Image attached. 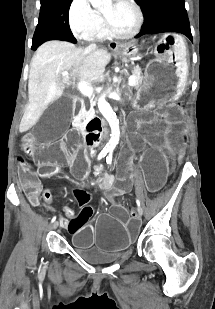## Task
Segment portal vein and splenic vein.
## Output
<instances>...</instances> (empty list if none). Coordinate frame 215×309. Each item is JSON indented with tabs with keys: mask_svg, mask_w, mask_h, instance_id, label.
<instances>
[{
	"mask_svg": "<svg viewBox=\"0 0 215 309\" xmlns=\"http://www.w3.org/2000/svg\"><path fill=\"white\" fill-rule=\"evenodd\" d=\"M63 76H67L68 72L64 70V72H61ZM136 82L135 76H129L128 84H134ZM79 90H81L82 94H86V96H91L93 92L92 86H84V84H78Z\"/></svg>",
	"mask_w": 215,
	"mask_h": 309,
	"instance_id": "18ae733b",
	"label": "portal vein and splenic vein"
}]
</instances>
